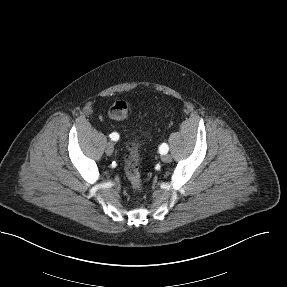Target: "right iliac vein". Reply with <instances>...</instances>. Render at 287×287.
I'll list each match as a JSON object with an SVG mask.
<instances>
[{
	"label": "right iliac vein",
	"instance_id": "63e3f726",
	"mask_svg": "<svg viewBox=\"0 0 287 287\" xmlns=\"http://www.w3.org/2000/svg\"><path fill=\"white\" fill-rule=\"evenodd\" d=\"M113 151H114L113 144L111 142L107 143V145L105 147V153L110 156V155H112Z\"/></svg>",
	"mask_w": 287,
	"mask_h": 287
}]
</instances>
